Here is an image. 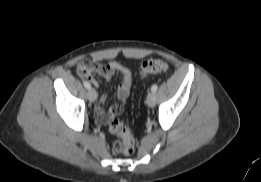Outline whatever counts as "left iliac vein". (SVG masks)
<instances>
[{
  "mask_svg": "<svg viewBox=\"0 0 261 182\" xmlns=\"http://www.w3.org/2000/svg\"><path fill=\"white\" fill-rule=\"evenodd\" d=\"M156 103V95L154 92H150L148 95H147V98H146V104L149 106V107H154Z\"/></svg>",
  "mask_w": 261,
  "mask_h": 182,
  "instance_id": "4c4485c4",
  "label": "left iliac vein"
}]
</instances>
